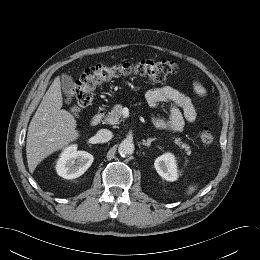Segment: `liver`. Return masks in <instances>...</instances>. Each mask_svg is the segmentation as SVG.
<instances>
[{
    "label": "liver",
    "mask_w": 260,
    "mask_h": 260,
    "mask_svg": "<svg viewBox=\"0 0 260 260\" xmlns=\"http://www.w3.org/2000/svg\"><path fill=\"white\" fill-rule=\"evenodd\" d=\"M63 105L59 76L44 95L28 127L26 155L28 168L34 172L38 164L53 152L68 146L79 137L73 115Z\"/></svg>",
    "instance_id": "liver-1"
}]
</instances>
